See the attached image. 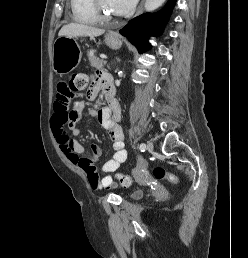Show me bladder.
<instances>
[{"label":"bladder","instance_id":"obj_1","mask_svg":"<svg viewBox=\"0 0 248 258\" xmlns=\"http://www.w3.org/2000/svg\"><path fill=\"white\" fill-rule=\"evenodd\" d=\"M145 195V192L141 189H135L130 193V198L133 200H139L143 198Z\"/></svg>","mask_w":248,"mask_h":258}]
</instances>
